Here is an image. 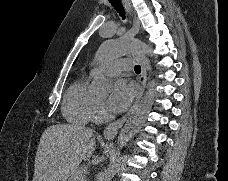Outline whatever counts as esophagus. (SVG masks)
<instances>
[{
    "mask_svg": "<svg viewBox=\"0 0 228 181\" xmlns=\"http://www.w3.org/2000/svg\"><path fill=\"white\" fill-rule=\"evenodd\" d=\"M122 2L124 3V6L126 7L127 11L129 13H131L132 8H131V4H130L129 0H122ZM139 28H140L139 25L133 24L130 32H137L139 30ZM132 56H133V58H136V60H138L141 65V73L138 76V83L140 85V91H139L138 95L136 96L133 105L127 111V113H125V115L122 116V118L117 119V121H114V123H111L110 125L106 126V128L104 129L105 137H115L117 135L118 130L120 128H122L123 124L125 123L127 118L131 115L133 110L136 108V106L138 105L139 101L141 100L142 96L145 93L146 86H147L146 58H145L144 54H140L137 52L132 53Z\"/></svg>",
    "mask_w": 228,
    "mask_h": 181,
    "instance_id": "1",
    "label": "esophagus"
}]
</instances>
